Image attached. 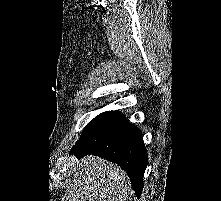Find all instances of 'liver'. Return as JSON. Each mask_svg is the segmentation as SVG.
Wrapping results in <instances>:
<instances>
[{
    "mask_svg": "<svg viewBox=\"0 0 221 201\" xmlns=\"http://www.w3.org/2000/svg\"><path fill=\"white\" fill-rule=\"evenodd\" d=\"M129 179L119 166L96 156L77 162L63 201H126Z\"/></svg>",
    "mask_w": 221,
    "mask_h": 201,
    "instance_id": "1",
    "label": "liver"
}]
</instances>
